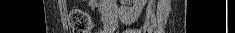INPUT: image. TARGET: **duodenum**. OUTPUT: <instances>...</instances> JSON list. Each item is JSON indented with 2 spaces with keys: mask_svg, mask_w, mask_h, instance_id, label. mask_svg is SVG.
<instances>
[{
  "mask_svg": "<svg viewBox=\"0 0 235 33\" xmlns=\"http://www.w3.org/2000/svg\"><path fill=\"white\" fill-rule=\"evenodd\" d=\"M118 24V9L117 7L110 6L107 9L104 19V32L113 33Z\"/></svg>",
  "mask_w": 235,
  "mask_h": 33,
  "instance_id": "obj_1",
  "label": "duodenum"
}]
</instances>
